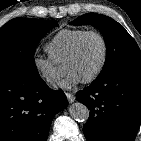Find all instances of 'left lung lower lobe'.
<instances>
[{"label": "left lung lower lobe", "mask_w": 141, "mask_h": 141, "mask_svg": "<svg viewBox=\"0 0 141 141\" xmlns=\"http://www.w3.org/2000/svg\"><path fill=\"white\" fill-rule=\"evenodd\" d=\"M76 98L91 111L83 126L88 141H134L141 123V70L97 79Z\"/></svg>", "instance_id": "1"}]
</instances>
